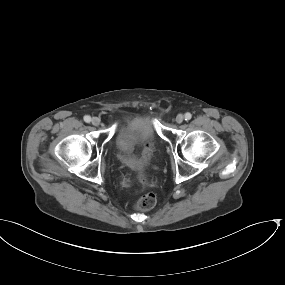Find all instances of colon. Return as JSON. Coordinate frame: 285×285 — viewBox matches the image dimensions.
Masks as SVG:
<instances>
[{"mask_svg": "<svg viewBox=\"0 0 285 285\" xmlns=\"http://www.w3.org/2000/svg\"><path fill=\"white\" fill-rule=\"evenodd\" d=\"M151 155H152V152L150 150V146L147 145L144 151V158L148 159L151 157ZM140 178L143 181L145 180V176L142 172L140 173ZM156 201H157L156 195L154 193L149 192V193L144 194L137 201L136 207L137 209L143 210V211L150 210L156 205Z\"/></svg>", "mask_w": 285, "mask_h": 285, "instance_id": "5ec220e1", "label": "colon"}]
</instances>
